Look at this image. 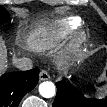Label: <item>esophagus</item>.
I'll list each match as a JSON object with an SVG mask.
<instances>
[{"mask_svg": "<svg viewBox=\"0 0 107 107\" xmlns=\"http://www.w3.org/2000/svg\"><path fill=\"white\" fill-rule=\"evenodd\" d=\"M39 78H40L41 81L49 80L50 75L48 74V72L46 70H41L40 74H39Z\"/></svg>", "mask_w": 107, "mask_h": 107, "instance_id": "1", "label": "esophagus"}]
</instances>
